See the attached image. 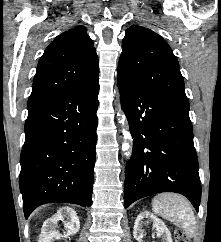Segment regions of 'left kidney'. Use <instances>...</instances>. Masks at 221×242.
<instances>
[{"instance_id":"5707ae66","label":"left kidney","mask_w":221,"mask_h":242,"mask_svg":"<svg viewBox=\"0 0 221 242\" xmlns=\"http://www.w3.org/2000/svg\"><path fill=\"white\" fill-rule=\"evenodd\" d=\"M144 219H146L147 222H153L156 234L158 237L162 238L163 242H173L171 233L165 223L149 211L141 212L135 220L133 236L138 242H143L142 238L144 237V231L142 227L144 225Z\"/></svg>"}]
</instances>
